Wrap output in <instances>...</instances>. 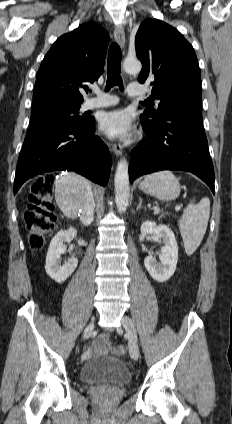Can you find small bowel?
Masks as SVG:
<instances>
[{
  "label": "small bowel",
  "mask_w": 232,
  "mask_h": 424,
  "mask_svg": "<svg viewBox=\"0 0 232 424\" xmlns=\"http://www.w3.org/2000/svg\"><path fill=\"white\" fill-rule=\"evenodd\" d=\"M111 348L109 336L103 333L95 338L91 346L85 351L84 357H92L106 353ZM116 350V347H113Z\"/></svg>",
  "instance_id": "1"
}]
</instances>
